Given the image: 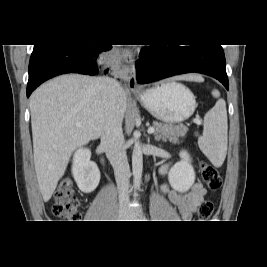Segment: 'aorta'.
Returning a JSON list of instances; mask_svg holds the SVG:
<instances>
[{
	"mask_svg": "<svg viewBox=\"0 0 267 267\" xmlns=\"http://www.w3.org/2000/svg\"><path fill=\"white\" fill-rule=\"evenodd\" d=\"M133 139H134V149L132 153V171H133L135 186L139 187L143 171V155L139 142V137L136 133H134Z\"/></svg>",
	"mask_w": 267,
	"mask_h": 267,
	"instance_id": "1",
	"label": "aorta"
}]
</instances>
